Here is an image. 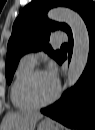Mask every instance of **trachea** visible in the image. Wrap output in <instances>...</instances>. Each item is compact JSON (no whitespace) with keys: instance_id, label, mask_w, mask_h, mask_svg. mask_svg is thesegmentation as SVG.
I'll list each match as a JSON object with an SVG mask.
<instances>
[{"instance_id":"1","label":"trachea","mask_w":95,"mask_h":130,"mask_svg":"<svg viewBox=\"0 0 95 130\" xmlns=\"http://www.w3.org/2000/svg\"><path fill=\"white\" fill-rule=\"evenodd\" d=\"M61 47H62V48H67V47H68V44L64 43Z\"/></svg>"}]
</instances>
